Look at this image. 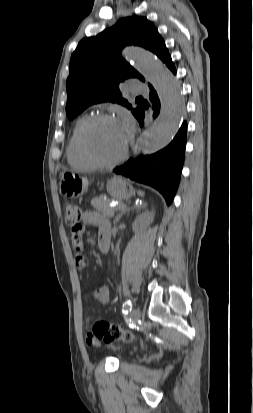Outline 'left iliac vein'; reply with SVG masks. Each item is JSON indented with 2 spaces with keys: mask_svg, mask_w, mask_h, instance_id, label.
Segmentation results:
<instances>
[{
  "mask_svg": "<svg viewBox=\"0 0 253 413\" xmlns=\"http://www.w3.org/2000/svg\"><path fill=\"white\" fill-rule=\"evenodd\" d=\"M130 316H131V319H132L133 321H138V320L141 318V311H140V309H139V308L133 309L132 312H131V314H130Z\"/></svg>",
  "mask_w": 253,
  "mask_h": 413,
  "instance_id": "4c4485c4",
  "label": "left iliac vein"
}]
</instances>
